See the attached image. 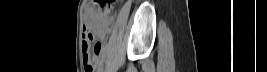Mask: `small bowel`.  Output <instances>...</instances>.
<instances>
[{"label": "small bowel", "mask_w": 267, "mask_h": 72, "mask_svg": "<svg viewBox=\"0 0 267 72\" xmlns=\"http://www.w3.org/2000/svg\"><path fill=\"white\" fill-rule=\"evenodd\" d=\"M88 31H89V28L85 29V34L83 36V41H82V49H84L89 37H88ZM109 33V28L107 26L103 27L102 29H100L98 31V35L101 37V38H104L107 34ZM100 49H99V52L97 54V62L99 61V58L101 57L102 55V51H103V44L100 43ZM96 67V66H95ZM95 67L92 69V68H85V71L86 72H93Z\"/></svg>", "instance_id": "obj_1"}]
</instances>
